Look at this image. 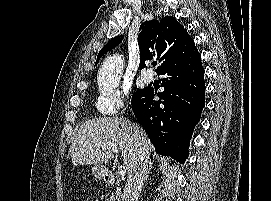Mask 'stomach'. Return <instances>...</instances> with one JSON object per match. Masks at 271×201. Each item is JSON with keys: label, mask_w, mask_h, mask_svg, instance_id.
<instances>
[{"label": "stomach", "mask_w": 271, "mask_h": 201, "mask_svg": "<svg viewBox=\"0 0 271 201\" xmlns=\"http://www.w3.org/2000/svg\"><path fill=\"white\" fill-rule=\"evenodd\" d=\"M105 171H106L105 167L101 165H95L92 168V173L96 178H102Z\"/></svg>", "instance_id": "0dacf381"}]
</instances>
